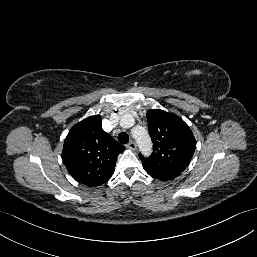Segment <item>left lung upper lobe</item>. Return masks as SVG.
Listing matches in <instances>:
<instances>
[{"label":"left lung upper lobe","instance_id":"obj_1","mask_svg":"<svg viewBox=\"0 0 257 257\" xmlns=\"http://www.w3.org/2000/svg\"><path fill=\"white\" fill-rule=\"evenodd\" d=\"M154 151L139 157L145 171L153 178L172 180L189 165L196 147L194 135L177 115L160 109L146 114Z\"/></svg>","mask_w":257,"mask_h":257}]
</instances>
